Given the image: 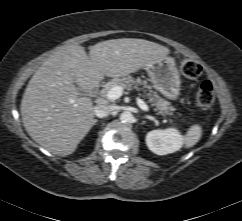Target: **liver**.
<instances>
[{"label":"liver","instance_id":"6515ba94","mask_svg":"<svg viewBox=\"0 0 242 221\" xmlns=\"http://www.w3.org/2000/svg\"><path fill=\"white\" fill-rule=\"evenodd\" d=\"M170 53L167 47L144 39L121 38L85 48L62 46L35 72L21 101L29 136L58 156L75 152L94 125L91 99L78 92L96 86L104 76L119 78L149 66Z\"/></svg>","mask_w":242,"mask_h":221}]
</instances>
